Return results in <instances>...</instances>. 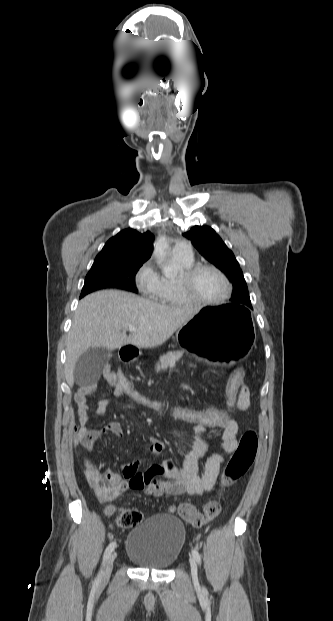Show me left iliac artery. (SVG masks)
<instances>
[{
  "label": "left iliac artery",
  "mask_w": 333,
  "mask_h": 621,
  "mask_svg": "<svg viewBox=\"0 0 333 621\" xmlns=\"http://www.w3.org/2000/svg\"><path fill=\"white\" fill-rule=\"evenodd\" d=\"M192 555L195 558V560L200 564L201 562V555L199 554V552L196 549L192 550Z\"/></svg>",
  "instance_id": "1"
}]
</instances>
